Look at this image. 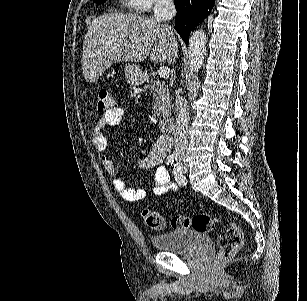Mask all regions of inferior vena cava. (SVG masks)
Masks as SVG:
<instances>
[{"label": "inferior vena cava", "instance_id": "obj_1", "mask_svg": "<svg viewBox=\"0 0 307 301\" xmlns=\"http://www.w3.org/2000/svg\"><path fill=\"white\" fill-rule=\"evenodd\" d=\"M153 12L155 20L165 22L166 26L172 28L170 24H167V20H171L176 14L174 0H156ZM175 110L176 130L174 134V155L177 157V155H184L187 151L188 124L190 120L189 104L186 98L180 96V94L175 96Z\"/></svg>", "mask_w": 307, "mask_h": 301}]
</instances>
